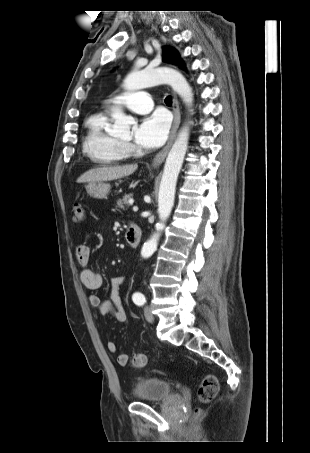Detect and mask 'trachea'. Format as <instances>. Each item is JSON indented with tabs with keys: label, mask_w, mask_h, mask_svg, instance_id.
Here are the masks:
<instances>
[{
	"label": "trachea",
	"mask_w": 310,
	"mask_h": 453,
	"mask_svg": "<svg viewBox=\"0 0 310 453\" xmlns=\"http://www.w3.org/2000/svg\"><path fill=\"white\" fill-rule=\"evenodd\" d=\"M165 103H166L167 105H171V104H172V97H171V96L166 97Z\"/></svg>",
	"instance_id": "3493384b"
}]
</instances>
